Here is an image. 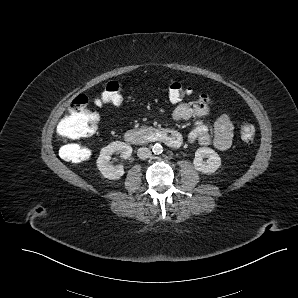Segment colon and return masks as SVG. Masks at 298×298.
<instances>
[{"label":"colon","instance_id":"obj_1","mask_svg":"<svg viewBox=\"0 0 298 298\" xmlns=\"http://www.w3.org/2000/svg\"><path fill=\"white\" fill-rule=\"evenodd\" d=\"M124 89V84L119 81L108 82L96 104H120L123 101ZM191 93V87L177 81L171 82L167 88L168 98L172 103H179ZM98 122V116L90 108L88 98L85 95H78L72 100L65 115L57 125L56 133L63 140H76L93 134L97 129ZM239 133L245 143L252 144L254 142L255 128L251 123L242 122L239 125ZM79 150L82 158L88 156L87 149L80 148Z\"/></svg>","mask_w":298,"mask_h":298}]
</instances>
